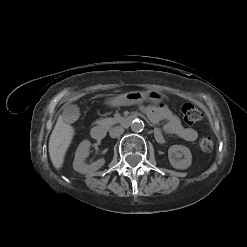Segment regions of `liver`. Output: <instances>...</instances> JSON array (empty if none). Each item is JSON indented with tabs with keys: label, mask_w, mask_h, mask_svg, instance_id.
Here are the masks:
<instances>
[{
	"label": "liver",
	"mask_w": 247,
	"mask_h": 247,
	"mask_svg": "<svg viewBox=\"0 0 247 247\" xmlns=\"http://www.w3.org/2000/svg\"><path fill=\"white\" fill-rule=\"evenodd\" d=\"M74 128L65 123L60 115L49 139V155L53 166L60 169L63 166L65 154L74 137Z\"/></svg>",
	"instance_id": "obj_1"
}]
</instances>
